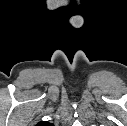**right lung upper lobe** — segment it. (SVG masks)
<instances>
[{
	"label": "right lung upper lobe",
	"instance_id": "1",
	"mask_svg": "<svg viewBox=\"0 0 127 126\" xmlns=\"http://www.w3.org/2000/svg\"><path fill=\"white\" fill-rule=\"evenodd\" d=\"M36 126H53V125L47 121H41Z\"/></svg>",
	"mask_w": 127,
	"mask_h": 126
}]
</instances>
